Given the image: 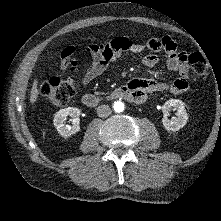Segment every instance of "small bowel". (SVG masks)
Returning a JSON list of instances; mask_svg holds the SVG:
<instances>
[{
  "instance_id": "small-bowel-1",
  "label": "small bowel",
  "mask_w": 221,
  "mask_h": 221,
  "mask_svg": "<svg viewBox=\"0 0 221 221\" xmlns=\"http://www.w3.org/2000/svg\"><path fill=\"white\" fill-rule=\"evenodd\" d=\"M150 51L143 58V64L148 68H155L158 64V57L155 53L164 51L166 54V65L168 69L178 74V78L166 83L156 79H133L127 86L135 96V102L142 103L146 100L147 94L156 91L168 90L173 94H181L189 89V66L186 61V54L178 50V46L169 36L152 37L146 43H134L127 37H119L103 45H90L86 51L91 55L90 63L84 68L82 83L89 84L102 75L120 55L129 51L142 53Z\"/></svg>"
}]
</instances>
